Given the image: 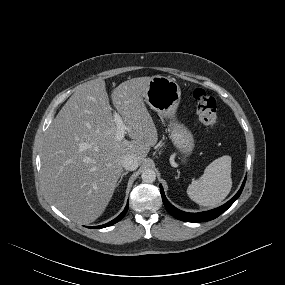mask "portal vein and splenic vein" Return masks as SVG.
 <instances>
[{"mask_svg": "<svg viewBox=\"0 0 285 285\" xmlns=\"http://www.w3.org/2000/svg\"><path fill=\"white\" fill-rule=\"evenodd\" d=\"M113 117H114V122L116 124L115 138L116 140L120 141L124 138L126 131H128V128L125 126L119 113L114 112Z\"/></svg>", "mask_w": 285, "mask_h": 285, "instance_id": "1", "label": "portal vein and splenic vein"}]
</instances>
